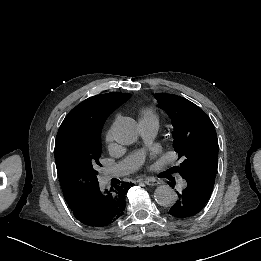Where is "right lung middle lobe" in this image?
Here are the masks:
<instances>
[{
  "instance_id": "right-lung-middle-lobe-1",
  "label": "right lung middle lobe",
  "mask_w": 261,
  "mask_h": 261,
  "mask_svg": "<svg viewBox=\"0 0 261 261\" xmlns=\"http://www.w3.org/2000/svg\"><path fill=\"white\" fill-rule=\"evenodd\" d=\"M101 131L73 123L59 129L55 144L57 172L67 203L98 184Z\"/></svg>"
}]
</instances>
